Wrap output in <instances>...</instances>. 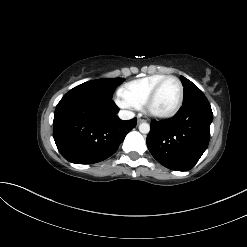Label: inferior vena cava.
<instances>
[{"label":"inferior vena cava","instance_id":"1","mask_svg":"<svg viewBox=\"0 0 247 247\" xmlns=\"http://www.w3.org/2000/svg\"><path fill=\"white\" fill-rule=\"evenodd\" d=\"M118 116L122 120H129V119L134 118L135 114L128 110H121L119 111Z\"/></svg>","mask_w":247,"mask_h":247}]
</instances>
